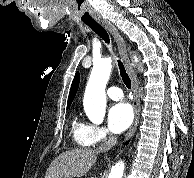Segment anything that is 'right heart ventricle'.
Wrapping results in <instances>:
<instances>
[{"label":"right heart ventricle","instance_id":"1","mask_svg":"<svg viewBox=\"0 0 194 178\" xmlns=\"http://www.w3.org/2000/svg\"><path fill=\"white\" fill-rule=\"evenodd\" d=\"M88 125L85 124L78 116H75L71 123V134L74 142L79 146L87 147L86 141Z\"/></svg>","mask_w":194,"mask_h":178}]
</instances>
